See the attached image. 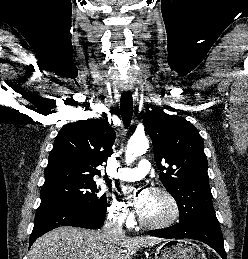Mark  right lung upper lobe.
<instances>
[{
  "mask_svg": "<svg viewBox=\"0 0 248 259\" xmlns=\"http://www.w3.org/2000/svg\"><path fill=\"white\" fill-rule=\"evenodd\" d=\"M115 137L107 119L66 124L58 133L50 152L44 183L93 180L95 175H100L96 167L112 154Z\"/></svg>",
  "mask_w": 248,
  "mask_h": 259,
  "instance_id": "right-lung-upper-lobe-1",
  "label": "right lung upper lobe"
}]
</instances>
